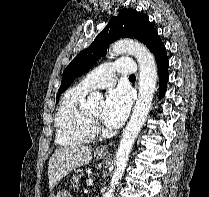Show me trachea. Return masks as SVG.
<instances>
[{"label": "trachea", "instance_id": "obj_1", "mask_svg": "<svg viewBox=\"0 0 209 197\" xmlns=\"http://www.w3.org/2000/svg\"><path fill=\"white\" fill-rule=\"evenodd\" d=\"M129 77H130V78H135V75L132 74V75H130Z\"/></svg>", "mask_w": 209, "mask_h": 197}]
</instances>
